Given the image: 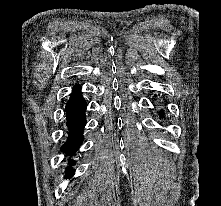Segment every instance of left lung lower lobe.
<instances>
[{
    "label": "left lung lower lobe",
    "instance_id": "1",
    "mask_svg": "<svg viewBox=\"0 0 221 206\" xmlns=\"http://www.w3.org/2000/svg\"><path fill=\"white\" fill-rule=\"evenodd\" d=\"M160 115H163V112H160Z\"/></svg>",
    "mask_w": 221,
    "mask_h": 206
}]
</instances>
